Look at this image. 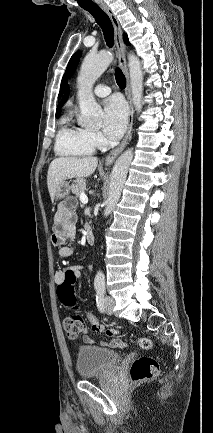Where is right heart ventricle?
Here are the masks:
<instances>
[{
  "instance_id": "1",
  "label": "right heart ventricle",
  "mask_w": 213,
  "mask_h": 433,
  "mask_svg": "<svg viewBox=\"0 0 213 433\" xmlns=\"http://www.w3.org/2000/svg\"><path fill=\"white\" fill-rule=\"evenodd\" d=\"M96 144L91 132L83 126L73 124L65 116L57 133L55 150L62 156H86L95 151Z\"/></svg>"
}]
</instances>
